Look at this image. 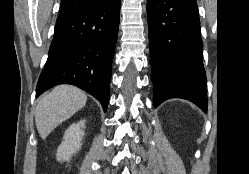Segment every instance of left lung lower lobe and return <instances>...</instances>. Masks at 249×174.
Here are the masks:
<instances>
[{"label":"left lung lower lobe","mask_w":249,"mask_h":174,"mask_svg":"<svg viewBox=\"0 0 249 174\" xmlns=\"http://www.w3.org/2000/svg\"><path fill=\"white\" fill-rule=\"evenodd\" d=\"M154 107L183 98L207 111L196 0H147Z\"/></svg>","instance_id":"left-lung-lower-lobe-1"}]
</instances>
